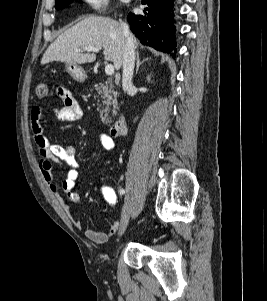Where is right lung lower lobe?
Listing matches in <instances>:
<instances>
[{
  "label": "right lung lower lobe",
  "mask_w": 267,
  "mask_h": 301,
  "mask_svg": "<svg viewBox=\"0 0 267 301\" xmlns=\"http://www.w3.org/2000/svg\"><path fill=\"white\" fill-rule=\"evenodd\" d=\"M142 4L146 5L143 14L129 13L127 16L132 32L141 43L175 57L173 0H142Z\"/></svg>",
  "instance_id": "right-lung-lower-lobe-1"
}]
</instances>
